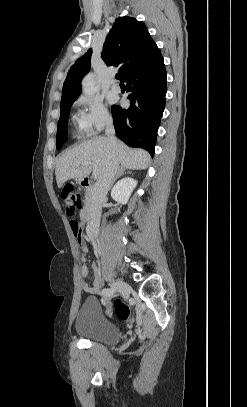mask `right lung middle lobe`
<instances>
[{"instance_id": "1", "label": "right lung middle lobe", "mask_w": 247, "mask_h": 407, "mask_svg": "<svg viewBox=\"0 0 247 407\" xmlns=\"http://www.w3.org/2000/svg\"><path fill=\"white\" fill-rule=\"evenodd\" d=\"M75 100L67 101L60 105L61 108V115L58 121V128H57V137H56V146L57 149H61L63 144L67 140V124H68V117L70 108Z\"/></svg>"}]
</instances>
